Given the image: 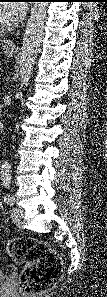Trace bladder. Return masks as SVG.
Masks as SVG:
<instances>
[{"mask_svg":"<svg viewBox=\"0 0 107 297\" xmlns=\"http://www.w3.org/2000/svg\"><path fill=\"white\" fill-rule=\"evenodd\" d=\"M0 278L2 279L3 278V274L0 272Z\"/></svg>","mask_w":107,"mask_h":297,"instance_id":"bladder-1","label":"bladder"}]
</instances>
